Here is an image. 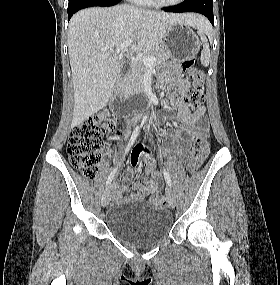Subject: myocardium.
<instances>
[{"instance_id":"1","label":"myocardium","mask_w":280,"mask_h":285,"mask_svg":"<svg viewBox=\"0 0 280 285\" xmlns=\"http://www.w3.org/2000/svg\"><path fill=\"white\" fill-rule=\"evenodd\" d=\"M184 0H174V1H171V2H162L160 0H150V2L158 7H165V8H168V7H174V6H177L179 5L180 3H182Z\"/></svg>"}]
</instances>
